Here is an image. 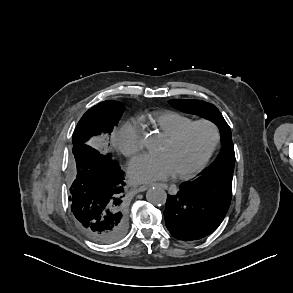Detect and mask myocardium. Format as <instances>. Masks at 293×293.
<instances>
[{
    "instance_id": "myocardium-1",
    "label": "myocardium",
    "mask_w": 293,
    "mask_h": 293,
    "mask_svg": "<svg viewBox=\"0 0 293 293\" xmlns=\"http://www.w3.org/2000/svg\"><path fill=\"white\" fill-rule=\"evenodd\" d=\"M197 125H205L208 126L212 132H213V139L212 142L204 154V156L201 158V160L194 166L191 170L183 173H176V177L179 179H190L197 175L208 163L210 158L212 157L213 153L215 152L219 141H220V130L218 126L206 119H200V120H193L192 122L186 124L182 128H180L177 132L174 134L166 137V140L170 143H176L178 142L192 127L197 126Z\"/></svg>"
}]
</instances>
